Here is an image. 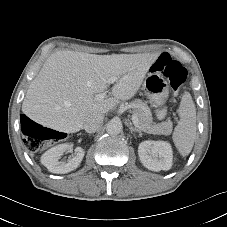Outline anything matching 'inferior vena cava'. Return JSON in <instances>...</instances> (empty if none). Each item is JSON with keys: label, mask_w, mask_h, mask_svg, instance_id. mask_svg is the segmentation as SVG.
Segmentation results:
<instances>
[{"label": "inferior vena cava", "mask_w": 227, "mask_h": 227, "mask_svg": "<svg viewBox=\"0 0 227 227\" xmlns=\"http://www.w3.org/2000/svg\"><path fill=\"white\" fill-rule=\"evenodd\" d=\"M104 114L95 113L88 116L84 122L83 129L88 133H94L102 125Z\"/></svg>", "instance_id": "inferior-vena-cava-1"}]
</instances>
